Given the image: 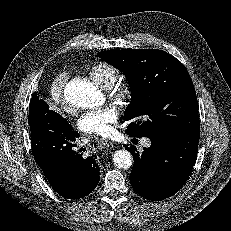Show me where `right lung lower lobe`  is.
Here are the masks:
<instances>
[{"label":"right lung lower lobe","mask_w":231,"mask_h":231,"mask_svg":"<svg viewBox=\"0 0 231 231\" xmlns=\"http://www.w3.org/2000/svg\"><path fill=\"white\" fill-rule=\"evenodd\" d=\"M36 99L34 93L31 100ZM30 127L34 159L52 188L67 199L90 194L99 182L100 168L95 155L75 150L78 133L58 113L49 110L44 100L37 103Z\"/></svg>","instance_id":"obj_1"}]
</instances>
